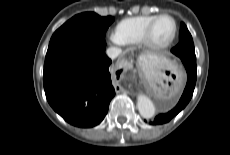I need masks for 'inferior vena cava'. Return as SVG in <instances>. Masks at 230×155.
<instances>
[{
	"instance_id": "602c4592",
	"label": "inferior vena cava",
	"mask_w": 230,
	"mask_h": 155,
	"mask_svg": "<svg viewBox=\"0 0 230 155\" xmlns=\"http://www.w3.org/2000/svg\"><path fill=\"white\" fill-rule=\"evenodd\" d=\"M106 54L109 58L115 59L121 54V49L117 47H110L106 50Z\"/></svg>"
}]
</instances>
